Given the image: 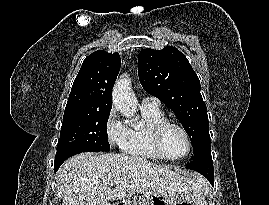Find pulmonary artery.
<instances>
[{
    "instance_id": "pulmonary-artery-1",
    "label": "pulmonary artery",
    "mask_w": 269,
    "mask_h": 205,
    "mask_svg": "<svg viewBox=\"0 0 269 205\" xmlns=\"http://www.w3.org/2000/svg\"><path fill=\"white\" fill-rule=\"evenodd\" d=\"M160 106V101L156 97H145L141 102V107L150 108V109H158Z\"/></svg>"
}]
</instances>
